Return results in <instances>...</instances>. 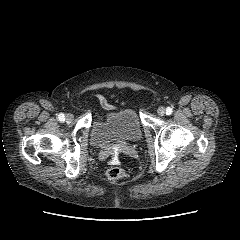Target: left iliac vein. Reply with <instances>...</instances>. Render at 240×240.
I'll use <instances>...</instances> for the list:
<instances>
[{"label":"left iliac vein","mask_w":240,"mask_h":240,"mask_svg":"<svg viewBox=\"0 0 240 240\" xmlns=\"http://www.w3.org/2000/svg\"><path fill=\"white\" fill-rule=\"evenodd\" d=\"M157 113H158L160 116L165 115V113H166L165 108H164V107H159V108L157 109Z\"/></svg>","instance_id":"obj_1"}]
</instances>
